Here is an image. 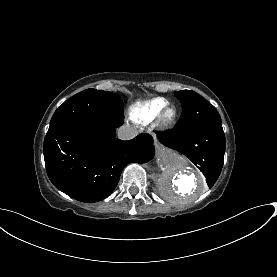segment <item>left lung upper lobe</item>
<instances>
[{"instance_id":"obj_1","label":"left lung upper lobe","mask_w":277,"mask_h":277,"mask_svg":"<svg viewBox=\"0 0 277 277\" xmlns=\"http://www.w3.org/2000/svg\"><path fill=\"white\" fill-rule=\"evenodd\" d=\"M180 100L183 116L177 128L190 127L208 122H221L219 113L199 94L194 91H176Z\"/></svg>"}]
</instances>
